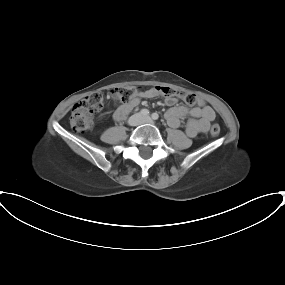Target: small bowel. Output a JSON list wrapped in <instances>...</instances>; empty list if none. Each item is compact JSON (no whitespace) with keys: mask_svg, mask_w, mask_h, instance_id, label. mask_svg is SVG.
<instances>
[{"mask_svg":"<svg viewBox=\"0 0 285 285\" xmlns=\"http://www.w3.org/2000/svg\"><path fill=\"white\" fill-rule=\"evenodd\" d=\"M158 94L154 88L148 90H138L134 97L127 103L120 106L114 113V118L117 120L122 119V109L131 104V109L139 105L141 99L152 98ZM178 99L174 96L166 97L165 103L170 106L165 114L166 120L171 127H178L180 121L185 117H190L186 125V134L189 137H195L201 132H205L209 129L210 123L215 119L214 110L205 104L203 100H200V104L197 107L188 109L185 106H176Z\"/></svg>","mask_w":285,"mask_h":285,"instance_id":"1","label":"small bowel"}]
</instances>
